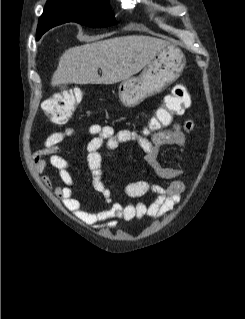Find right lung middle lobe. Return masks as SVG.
I'll return each mask as SVG.
<instances>
[{"label": "right lung middle lobe", "mask_w": 245, "mask_h": 319, "mask_svg": "<svg viewBox=\"0 0 245 319\" xmlns=\"http://www.w3.org/2000/svg\"><path fill=\"white\" fill-rule=\"evenodd\" d=\"M44 10H50L57 25L72 21L89 27H108L115 23L109 0H57L49 2ZM48 29L38 26L37 32L41 35Z\"/></svg>", "instance_id": "dd1d6c3e"}]
</instances>
